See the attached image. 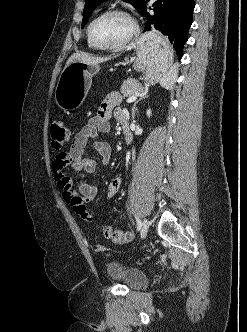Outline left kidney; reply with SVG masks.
<instances>
[{
  "label": "left kidney",
  "mask_w": 247,
  "mask_h": 332,
  "mask_svg": "<svg viewBox=\"0 0 247 332\" xmlns=\"http://www.w3.org/2000/svg\"><path fill=\"white\" fill-rule=\"evenodd\" d=\"M150 115H151V110L149 109L147 110V116L150 117Z\"/></svg>",
  "instance_id": "obj_1"
}]
</instances>
